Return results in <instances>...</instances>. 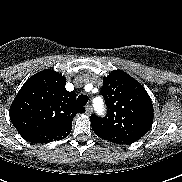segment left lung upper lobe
<instances>
[{
	"label": "left lung upper lobe",
	"instance_id": "left-lung-upper-lobe-1",
	"mask_svg": "<svg viewBox=\"0 0 182 182\" xmlns=\"http://www.w3.org/2000/svg\"><path fill=\"white\" fill-rule=\"evenodd\" d=\"M103 81L101 94L108 111L103 118L90 116L92 128L139 140L150 130L154 117L147 91L121 70L112 71Z\"/></svg>",
	"mask_w": 182,
	"mask_h": 182
}]
</instances>
